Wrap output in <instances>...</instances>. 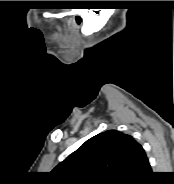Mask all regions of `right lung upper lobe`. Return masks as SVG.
<instances>
[{"label": "right lung upper lobe", "mask_w": 174, "mask_h": 184, "mask_svg": "<svg viewBox=\"0 0 174 184\" xmlns=\"http://www.w3.org/2000/svg\"><path fill=\"white\" fill-rule=\"evenodd\" d=\"M147 162L130 135L108 130L87 140L52 172L65 184H115L132 179Z\"/></svg>", "instance_id": "obj_1"}]
</instances>
